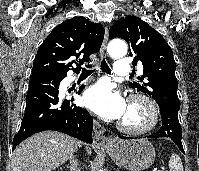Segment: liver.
Wrapping results in <instances>:
<instances>
[{
  "label": "liver",
  "instance_id": "obj_1",
  "mask_svg": "<svg viewBox=\"0 0 199 171\" xmlns=\"http://www.w3.org/2000/svg\"><path fill=\"white\" fill-rule=\"evenodd\" d=\"M80 142L63 133L43 131L19 144L12 155L11 171H53L73 156ZM87 153L91 150L87 148Z\"/></svg>",
  "mask_w": 199,
  "mask_h": 171
}]
</instances>
